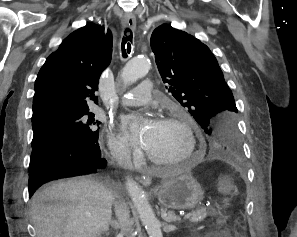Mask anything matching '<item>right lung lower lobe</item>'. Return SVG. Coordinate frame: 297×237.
Returning <instances> with one entry per match:
<instances>
[{"instance_id":"1","label":"right lung lower lobe","mask_w":297,"mask_h":237,"mask_svg":"<svg viewBox=\"0 0 297 237\" xmlns=\"http://www.w3.org/2000/svg\"><path fill=\"white\" fill-rule=\"evenodd\" d=\"M29 194L43 184L74 176L94 174L105 168L98 140L83 142L64 131H51L32 142Z\"/></svg>"}]
</instances>
